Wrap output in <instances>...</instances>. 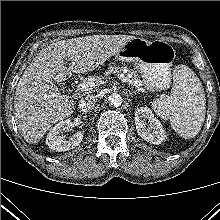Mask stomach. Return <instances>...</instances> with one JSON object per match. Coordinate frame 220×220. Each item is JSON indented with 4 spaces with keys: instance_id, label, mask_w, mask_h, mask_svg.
<instances>
[{
    "instance_id": "1",
    "label": "stomach",
    "mask_w": 220,
    "mask_h": 220,
    "mask_svg": "<svg viewBox=\"0 0 220 220\" xmlns=\"http://www.w3.org/2000/svg\"><path fill=\"white\" fill-rule=\"evenodd\" d=\"M175 56V50L169 43L142 38L128 41L115 55L120 61L132 62L141 73L145 86L151 91L170 87L171 66Z\"/></svg>"
}]
</instances>
